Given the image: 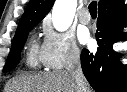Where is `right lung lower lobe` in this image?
I'll return each instance as SVG.
<instances>
[{"mask_svg": "<svg viewBox=\"0 0 127 92\" xmlns=\"http://www.w3.org/2000/svg\"><path fill=\"white\" fill-rule=\"evenodd\" d=\"M127 6L99 10L96 38L97 53L83 49L81 65L84 75L96 92H127V65L120 62V54L113 44L125 40L127 33Z\"/></svg>", "mask_w": 127, "mask_h": 92, "instance_id": "98d812e1", "label": "right lung lower lobe"}]
</instances>
